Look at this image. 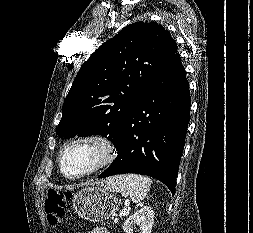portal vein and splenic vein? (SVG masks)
Returning a JSON list of instances; mask_svg holds the SVG:
<instances>
[{
  "label": "portal vein and splenic vein",
  "mask_w": 253,
  "mask_h": 233,
  "mask_svg": "<svg viewBox=\"0 0 253 233\" xmlns=\"http://www.w3.org/2000/svg\"><path fill=\"white\" fill-rule=\"evenodd\" d=\"M127 213V208H124L121 213H120V217H123L124 215H126ZM118 222V218H115L114 219V223H117Z\"/></svg>",
  "instance_id": "obj_1"
}]
</instances>
